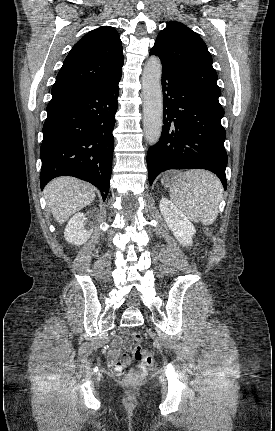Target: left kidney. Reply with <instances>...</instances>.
I'll return each instance as SVG.
<instances>
[{
	"label": "left kidney",
	"mask_w": 275,
	"mask_h": 431,
	"mask_svg": "<svg viewBox=\"0 0 275 431\" xmlns=\"http://www.w3.org/2000/svg\"><path fill=\"white\" fill-rule=\"evenodd\" d=\"M161 214L174 236L183 246L192 244V237L196 233L194 225L170 200L162 198L160 201Z\"/></svg>",
	"instance_id": "5707ae66"
}]
</instances>
